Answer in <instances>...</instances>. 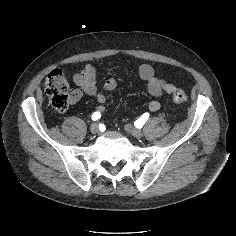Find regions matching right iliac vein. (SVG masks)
<instances>
[{"mask_svg":"<svg viewBox=\"0 0 236 236\" xmlns=\"http://www.w3.org/2000/svg\"><path fill=\"white\" fill-rule=\"evenodd\" d=\"M90 131L92 134H97L99 132V127L96 123H93L91 126H90Z\"/></svg>","mask_w":236,"mask_h":236,"instance_id":"1","label":"right iliac vein"}]
</instances>
